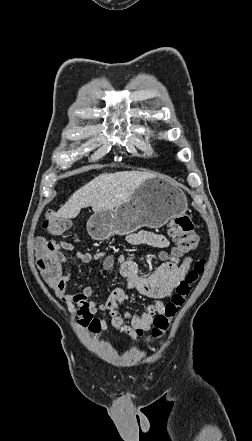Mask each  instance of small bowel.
Wrapping results in <instances>:
<instances>
[{"label": "small bowel", "mask_w": 252, "mask_h": 441, "mask_svg": "<svg viewBox=\"0 0 252 441\" xmlns=\"http://www.w3.org/2000/svg\"><path fill=\"white\" fill-rule=\"evenodd\" d=\"M128 241L131 244H146L159 249L169 246V241L164 235L146 230L130 235ZM60 248L70 252L75 250V246L70 242L60 243ZM75 258L84 264L97 262L103 258L102 266L106 271L112 270L115 261H117L120 275L124 278L126 286L124 288H114L107 300L101 303L90 300L93 295V289L90 286L83 287L78 294L65 293V283L70 277L68 273L61 277L57 283L47 281L57 298L67 306L73 318H78L79 327L87 326L99 311H104L110 315L111 325L114 328L121 334L133 339L137 337V331L149 330L155 316L163 313L166 305L164 300L172 297L192 264L191 257L180 259L175 252H169L163 255L165 261L156 270L144 275L139 272L138 266L133 260L126 259L122 255H105L102 252L95 254L76 252ZM62 259H64L63 256H61ZM131 289L137 290L140 294L154 301L147 305L143 311L130 312L124 310L122 307L127 301L128 291ZM125 321H128L129 325L125 324ZM102 325L105 326V323H102Z\"/></svg>", "instance_id": "1"}]
</instances>
